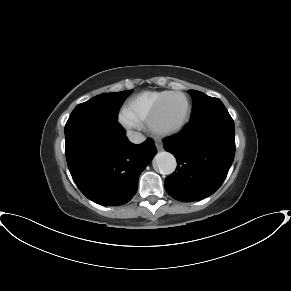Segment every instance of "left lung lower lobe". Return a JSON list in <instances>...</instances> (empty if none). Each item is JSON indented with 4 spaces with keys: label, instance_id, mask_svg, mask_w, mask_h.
I'll return each instance as SVG.
<instances>
[{
    "label": "left lung lower lobe",
    "instance_id": "left-lung-lower-lobe-1",
    "mask_svg": "<svg viewBox=\"0 0 291 291\" xmlns=\"http://www.w3.org/2000/svg\"><path fill=\"white\" fill-rule=\"evenodd\" d=\"M163 143L178 163L176 171L165 179L167 193L179 201L201 200L221 186L232 165L234 122L226 108L220 107L191 120Z\"/></svg>",
    "mask_w": 291,
    "mask_h": 291
}]
</instances>
